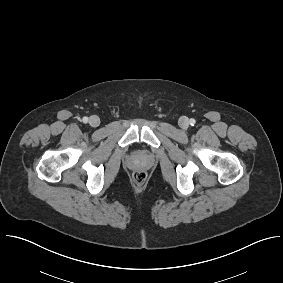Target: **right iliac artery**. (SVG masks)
Returning <instances> with one entry per match:
<instances>
[{"mask_svg": "<svg viewBox=\"0 0 283 283\" xmlns=\"http://www.w3.org/2000/svg\"><path fill=\"white\" fill-rule=\"evenodd\" d=\"M82 121H83L84 123H87V122H88V118H87V117H83Z\"/></svg>", "mask_w": 283, "mask_h": 283, "instance_id": "obj_1", "label": "right iliac artery"}]
</instances>
